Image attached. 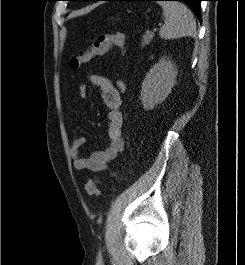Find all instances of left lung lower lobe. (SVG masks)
I'll return each instance as SVG.
<instances>
[{
  "label": "left lung lower lobe",
  "instance_id": "obj_1",
  "mask_svg": "<svg viewBox=\"0 0 245 265\" xmlns=\"http://www.w3.org/2000/svg\"><path fill=\"white\" fill-rule=\"evenodd\" d=\"M83 1H101V0H83ZM107 1H124V0H107ZM152 1H161V0H152ZM176 1H183L187 3L194 11V13L197 15V17L201 20L200 2L202 0H176Z\"/></svg>",
  "mask_w": 245,
  "mask_h": 265
}]
</instances>
